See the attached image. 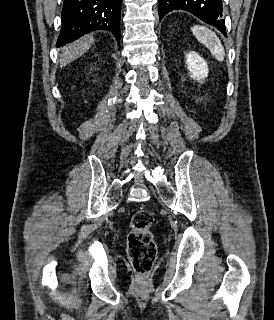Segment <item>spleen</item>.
Returning <instances> with one entry per match:
<instances>
[{"mask_svg":"<svg viewBox=\"0 0 274 320\" xmlns=\"http://www.w3.org/2000/svg\"><path fill=\"white\" fill-rule=\"evenodd\" d=\"M192 32L198 42H200V44H204V46L210 50L212 56H214L216 60L223 62L225 56L224 48L215 32L208 30L205 26H193Z\"/></svg>","mask_w":274,"mask_h":320,"instance_id":"3e777b00","label":"spleen"}]
</instances>
